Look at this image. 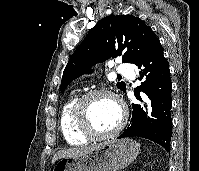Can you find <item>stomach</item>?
I'll list each match as a JSON object with an SVG mask.
<instances>
[{
	"mask_svg": "<svg viewBox=\"0 0 199 171\" xmlns=\"http://www.w3.org/2000/svg\"><path fill=\"white\" fill-rule=\"evenodd\" d=\"M138 153L139 145L134 140L113 138L85 154L60 159L53 171H119L132 163Z\"/></svg>",
	"mask_w": 199,
	"mask_h": 171,
	"instance_id": "stomach-1",
	"label": "stomach"
}]
</instances>
